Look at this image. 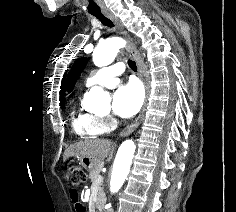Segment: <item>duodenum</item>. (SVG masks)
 <instances>
[{
	"label": "duodenum",
	"instance_id": "duodenum-1",
	"mask_svg": "<svg viewBox=\"0 0 236 212\" xmlns=\"http://www.w3.org/2000/svg\"><path fill=\"white\" fill-rule=\"evenodd\" d=\"M97 212H105L104 208H100Z\"/></svg>",
	"mask_w": 236,
	"mask_h": 212
}]
</instances>
